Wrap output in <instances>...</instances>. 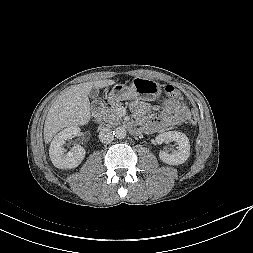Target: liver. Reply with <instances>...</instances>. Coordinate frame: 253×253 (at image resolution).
Masks as SVG:
<instances>
[{
    "mask_svg": "<svg viewBox=\"0 0 253 253\" xmlns=\"http://www.w3.org/2000/svg\"><path fill=\"white\" fill-rule=\"evenodd\" d=\"M110 79L85 82L62 92L55 98L44 124V140L49 143L60 130L70 126L86 125L91 119L88 94L92 88H104L113 85Z\"/></svg>",
    "mask_w": 253,
    "mask_h": 253,
    "instance_id": "obj_1",
    "label": "liver"
}]
</instances>
